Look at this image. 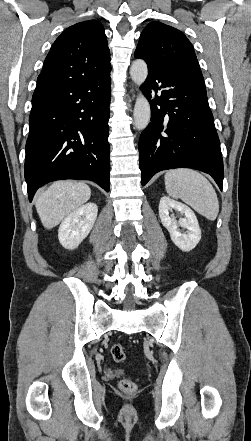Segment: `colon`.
<instances>
[{
    "label": "colon",
    "instance_id": "obj_1",
    "mask_svg": "<svg viewBox=\"0 0 251 441\" xmlns=\"http://www.w3.org/2000/svg\"><path fill=\"white\" fill-rule=\"evenodd\" d=\"M110 353L112 356V359L115 362H122L125 360V351L121 344L116 343L113 344L110 348ZM119 388L121 391L125 393H132L136 390V384L133 380L129 378H124L119 382Z\"/></svg>",
    "mask_w": 251,
    "mask_h": 441
}]
</instances>
